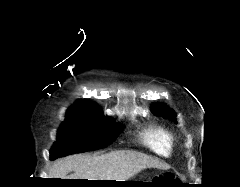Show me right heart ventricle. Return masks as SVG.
I'll list each match as a JSON object with an SVG mask.
<instances>
[{
	"label": "right heart ventricle",
	"instance_id": "1",
	"mask_svg": "<svg viewBox=\"0 0 240 187\" xmlns=\"http://www.w3.org/2000/svg\"><path fill=\"white\" fill-rule=\"evenodd\" d=\"M141 143L153 153L169 157L172 155L176 139L174 134L167 128L159 125H148L140 133Z\"/></svg>",
	"mask_w": 240,
	"mask_h": 187
}]
</instances>
